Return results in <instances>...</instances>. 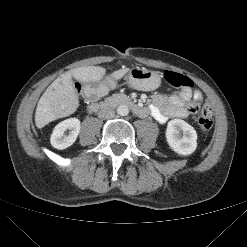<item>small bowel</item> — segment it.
I'll return each mask as SVG.
<instances>
[{"instance_id":"1","label":"small bowel","mask_w":247,"mask_h":247,"mask_svg":"<svg viewBox=\"0 0 247 247\" xmlns=\"http://www.w3.org/2000/svg\"><path fill=\"white\" fill-rule=\"evenodd\" d=\"M191 99L201 102L203 96L200 91L184 89L170 96L156 94L153 96V104L146 110L156 121L166 123L170 118H185L189 115L185 104Z\"/></svg>"}]
</instances>
